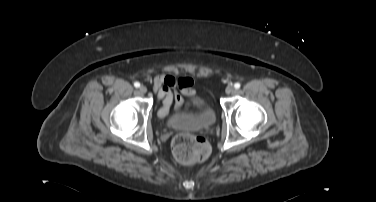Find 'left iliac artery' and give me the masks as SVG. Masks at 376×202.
I'll list each match as a JSON object with an SVG mask.
<instances>
[{
    "mask_svg": "<svg viewBox=\"0 0 376 202\" xmlns=\"http://www.w3.org/2000/svg\"><path fill=\"white\" fill-rule=\"evenodd\" d=\"M240 86H241V85H240V83H238V82L234 84V87H235L236 89H239Z\"/></svg>",
    "mask_w": 376,
    "mask_h": 202,
    "instance_id": "44dca946",
    "label": "left iliac artery"
}]
</instances>
